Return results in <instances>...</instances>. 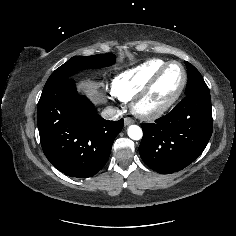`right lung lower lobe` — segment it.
Listing matches in <instances>:
<instances>
[{"label":"right lung lower lobe","instance_id":"right-lung-lower-lobe-1","mask_svg":"<svg viewBox=\"0 0 236 236\" xmlns=\"http://www.w3.org/2000/svg\"><path fill=\"white\" fill-rule=\"evenodd\" d=\"M37 123L43 152L64 174L88 178L106 164L123 119L108 121L76 92L72 78L43 89Z\"/></svg>","mask_w":236,"mask_h":236}]
</instances>
